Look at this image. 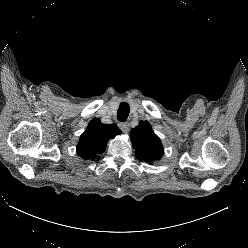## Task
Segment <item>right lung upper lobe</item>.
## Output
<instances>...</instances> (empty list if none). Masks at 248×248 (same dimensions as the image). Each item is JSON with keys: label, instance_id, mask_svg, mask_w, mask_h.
<instances>
[{"label": "right lung upper lobe", "instance_id": "1", "mask_svg": "<svg viewBox=\"0 0 248 248\" xmlns=\"http://www.w3.org/2000/svg\"><path fill=\"white\" fill-rule=\"evenodd\" d=\"M118 134L121 130L116 124H102L100 119L94 118L80 137L77 153L84 160H95L105 151L109 139Z\"/></svg>", "mask_w": 248, "mask_h": 248}]
</instances>
